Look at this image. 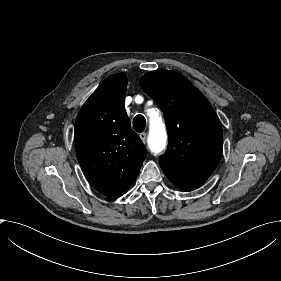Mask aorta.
<instances>
[{
  "label": "aorta",
  "mask_w": 281,
  "mask_h": 281,
  "mask_svg": "<svg viewBox=\"0 0 281 281\" xmlns=\"http://www.w3.org/2000/svg\"><path fill=\"white\" fill-rule=\"evenodd\" d=\"M167 144L165 124L161 117L152 115L150 118L148 146L151 152H162Z\"/></svg>",
  "instance_id": "aorta-1"
}]
</instances>
